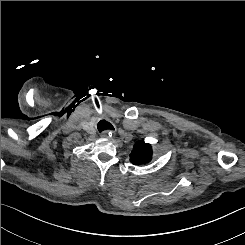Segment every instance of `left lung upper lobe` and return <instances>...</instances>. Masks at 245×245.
Segmentation results:
<instances>
[{
  "mask_svg": "<svg viewBox=\"0 0 245 245\" xmlns=\"http://www.w3.org/2000/svg\"><path fill=\"white\" fill-rule=\"evenodd\" d=\"M152 160V147L144 141L135 143L130 154V162L136 165L146 164Z\"/></svg>",
  "mask_w": 245,
  "mask_h": 245,
  "instance_id": "obj_1",
  "label": "left lung upper lobe"
}]
</instances>
